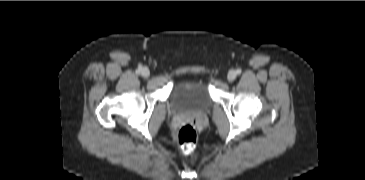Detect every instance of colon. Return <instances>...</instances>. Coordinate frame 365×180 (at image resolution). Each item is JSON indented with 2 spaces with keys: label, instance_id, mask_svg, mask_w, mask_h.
<instances>
[{
  "label": "colon",
  "instance_id": "obj_1",
  "mask_svg": "<svg viewBox=\"0 0 365 180\" xmlns=\"http://www.w3.org/2000/svg\"><path fill=\"white\" fill-rule=\"evenodd\" d=\"M175 141L182 152H192L197 143V133L194 127L190 123L182 125L175 135Z\"/></svg>",
  "mask_w": 365,
  "mask_h": 180
}]
</instances>
